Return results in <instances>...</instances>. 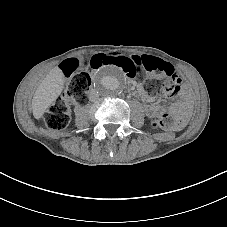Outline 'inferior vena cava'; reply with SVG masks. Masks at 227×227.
<instances>
[{"instance_id": "1", "label": "inferior vena cava", "mask_w": 227, "mask_h": 227, "mask_svg": "<svg viewBox=\"0 0 227 227\" xmlns=\"http://www.w3.org/2000/svg\"><path fill=\"white\" fill-rule=\"evenodd\" d=\"M98 97H99L98 92L95 91V90H93V89H91L90 90V93H89V100L92 101V102H94V101L97 100Z\"/></svg>"}]
</instances>
